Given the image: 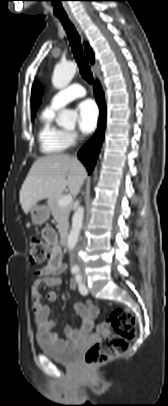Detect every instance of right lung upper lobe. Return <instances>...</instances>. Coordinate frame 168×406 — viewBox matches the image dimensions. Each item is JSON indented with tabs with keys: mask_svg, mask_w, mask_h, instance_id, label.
Masks as SVG:
<instances>
[{
	"mask_svg": "<svg viewBox=\"0 0 168 406\" xmlns=\"http://www.w3.org/2000/svg\"><path fill=\"white\" fill-rule=\"evenodd\" d=\"M85 50H86V54H87V57H88L89 61H90L91 63H93V62H94L93 52H92V50H91V48L89 47L88 44L85 45ZM38 106H39V101H38V102L34 105V107H33V110H32V118L34 117Z\"/></svg>",
	"mask_w": 168,
	"mask_h": 406,
	"instance_id": "right-lung-upper-lobe-1",
	"label": "right lung upper lobe"
}]
</instances>
